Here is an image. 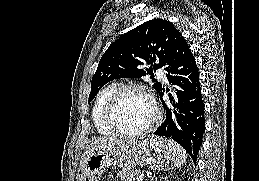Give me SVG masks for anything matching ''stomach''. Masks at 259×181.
<instances>
[{
	"label": "stomach",
	"mask_w": 259,
	"mask_h": 181,
	"mask_svg": "<svg viewBox=\"0 0 259 181\" xmlns=\"http://www.w3.org/2000/svg\"><path fill=\"white\" fill-rule=\"evenodd\" d=\"M173 160V152L162 137H149L135 141L125 148L89 149L82 156L77 181H99L109 168L131 169L147 166L164 169Z\"/></svg>",
	"instance_id": "1"
}]
</instances>
